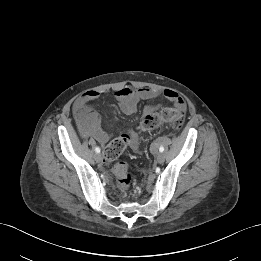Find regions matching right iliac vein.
<instances>
[{
	"instance_id": "63e3f726",
	"label": "right iliac vein",
	"mask_w": 261,
	"mask_h": 261,
	"mask_svg": "<svg viewBox=\"0 0 261 261\" xmlns=\"http://www.w3.org/2000/svg\"><path fill=\"white\" fill-rule=\"evenodd\" d=\"M94 158H95L96 161H100L102 157H101V154H100V153H96V154L94 155Z\"/></svg>"
}]
</instances>
